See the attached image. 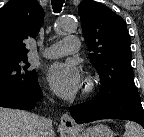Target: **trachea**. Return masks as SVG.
I'll return each mask as SVG.
<instances>
[{"label":"trachea","instance_id":"trachea-1","mask_svg":"<svg viewBox=\"0 0 144 137\" xmlns=\"http://www.w3.org/2000/svg\"><path fill=\"white\" fill-rule=\"evenodd\" d=\"M54 12L59 13L62 9L64 0H51Z\"/></svg>","mask_w":144,"mask_h":137}]
</instances>
